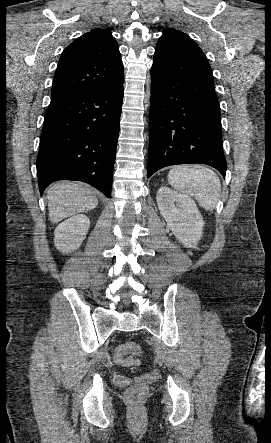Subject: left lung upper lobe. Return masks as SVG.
<instances>
[{
    "label": "left lung upper lobe",
    "mask_w": 271,
    "mask_h": 443,
    "mask_svg": "<svg viewBox=\"0 0 271 443\" xmlns=\"http://www.w3.org/2000/svg\"><path fill=\"white\" fill-rule=\"evenodd\" d=\"M156 48L172 50L206 59L203 51L187 34L175 29L163 30V34L159 38Z\"/></svg>",
    "instance_id": "obj_1"
}]
</instances>
